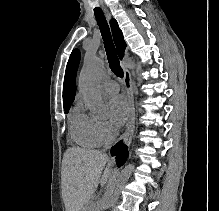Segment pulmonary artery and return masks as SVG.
<instances>
[{"mask_svg":"<svg viewBox=\"0 0 219 211\" xmlns=\"http://www.w3.org/2000/svg\"><path fill=\"white\" fill-rule=\"evenodd\" d=\"M102 89L108 94H116L119 91V85L116 81L106 80L102 84Z\"/></svg>","mask_w":219,"mask_h":211,"instance_id":"e3ab8cb5","label":"pulmonary artery"}]
</instances>
